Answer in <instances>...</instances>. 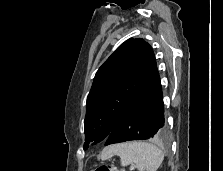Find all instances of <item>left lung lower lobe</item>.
Returning a JSON list of instances; mask_svg holds the SVG:
<instances>
[{
	"mask_svg": "<svg viewBox=\"0 0 223 171\" xmlns=\"http://www.w3.org/2000/svg\"><path fill=\"white\" fill-rule=\"evenodd\" d=\"M162 87L157 66L106 139L105 145L130 140L165 139Z\"/></svg>",
	"mask_w": 223,
	"mask_h": 171,
	"instance_id": "0a47b994",
	"label": "left lung lower lobe"
}]
</instances>
